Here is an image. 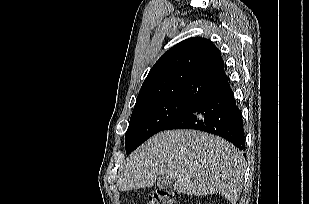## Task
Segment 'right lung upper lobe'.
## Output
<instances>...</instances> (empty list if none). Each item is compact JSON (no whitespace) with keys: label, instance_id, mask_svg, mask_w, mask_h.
<instances>
[{"label":"right lung upper lobe","instance_id":"cb5924a9","mask_svg":"<svg viewBox=\"0 0 309 204\" xmlns=\"http://www.w3.org/2000/svg\"><path fill=\"white\" fill-rule=\"evenodd\" d=\"M228 86L220 51L211 41L194 37L159 58L143 82L136 104L158 99L199 102Z\"/></svg>","mask_w":309,"mask_h":204}]
</instances>
